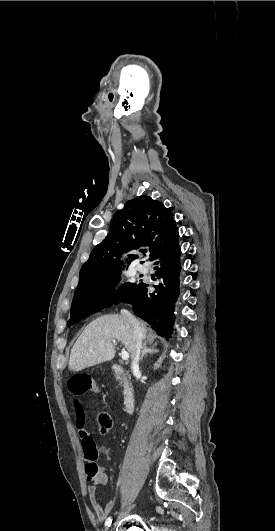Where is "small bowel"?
Wrapping results in <instances>:
<instances>
[{
	"label": "small bowel",
	"instance_id": "1",
	"mask_svg": "<svg viewBox=\"0 0 275 531\" xmlns=\"http://www.w3.org/2000/svg\"><path fill=\"white\" fill-rule=\"evenodd\" d=\"M98 380L96 374L91 373L89 375H70L68 377V388L69 394L75 400L74 408L75 415L84 417L87 415L88 410L84 407V391H92L94 388H97V385H94ZM76 429L80 437L82 447L84 448L87 445H91L94 442L92 436L85 428V420H77ZM100 453L106 458L109 459L111 456V449L109 447H102ZM92 478V485L88 488V497L89 502L92 508L95 511V514L99 520H104L107 515L114 509L116 505L115 500L108 501L105 505H102L99 498V488L107 484L108 477L105 472L99 471L96 476L89 477Z\"/></svg>",
	"mask_w": 275,
	"mask_h": 531
}]
</instances>
